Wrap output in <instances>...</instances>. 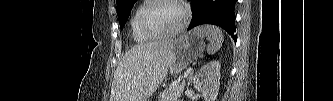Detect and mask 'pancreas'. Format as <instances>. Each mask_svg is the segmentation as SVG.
I'll return each mask as SVG.
<instances>
[{
    "label": "pancreas",
    "instance_id": "obj_1",
    "mask_svg": "<svg viewBox=\"0 0 333 101\" xmlns=\"http://www.w3.org/2000/svg\"><path fill=\"white\" fill-rule=\"evenodd\" d=\"M185 81L169 85L158 97L159 101H178L183 93Z\"/></svg>",
    "mask_w": 333,
    "mask_h": 101
}]
</instances>
